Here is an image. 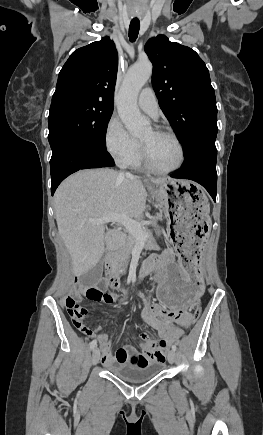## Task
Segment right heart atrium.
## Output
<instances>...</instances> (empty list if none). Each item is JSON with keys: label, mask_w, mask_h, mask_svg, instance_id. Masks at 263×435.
Returning a JSON list of instances; mask_svg holds the SVG:
<instances>
[{"label": "right heart atrium", "mask_w": 263, "mask_h": 435, "mask_svg": "<svg viewBox=\"0 0 263 435\" xmlns=\"http://www.w3.org/2000/svg\"><path fill=\"white\" fill-rule=\"evenodd\" d=\"M104 145L109 155L122 166L131 165L141 154L140 143L127 132L115 115L106 124Z\"/></svg>", "instance_id": "1"}]
</instances>
